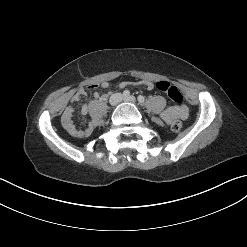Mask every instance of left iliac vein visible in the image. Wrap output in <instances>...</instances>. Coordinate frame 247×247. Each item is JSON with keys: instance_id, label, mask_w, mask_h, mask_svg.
<instances>
[{"instance_id": "left-iliac-vein-1", "label": "left iliac vein", "mask_w": 247, "mask_h": 247, "mask_svg": "<svg viewBox=\"0 0 247 247\" xmlns=\"http://www.w3.org/2000/svg\"><path fill=\"white\" fill-rule=\"evenodd\" d=\"M124 101L135 103L136 102V99H135L134 96H129V97H125L124 98Z\"/></svg>"}]
</instances>
